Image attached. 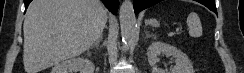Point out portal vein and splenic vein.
I'll return each mask as SVG.
<instances>
[{
    "mask_svg": "<svg viewBox=\"0 0 244 73\" xmlns=\"http://www.w3.org/2000/svg\"><path fill=\"white\" fill-rule=\"evenodd\" d=\"M173 35H175V32H170L169 36L172 37Z\"/></svg>",
    "mask_w": 244,
    "mask_h": 73,
    "instance_id": "18ae733b",
    "label": "portal vein and splenic vein"
}]
</instances>
